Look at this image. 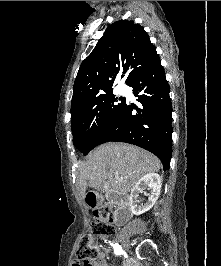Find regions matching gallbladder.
<instances>
[{
  "instance_id": "bac80fb5",
  "label": "gallbladder",
  "mask_w": 221,
  "mask_h": 266,
  "mask_svg": "<svg viewBox=\"0 0 221 266\" xmlns=\"http://www.w3.org/2000/svg\"><path fill=\"white\" fill-rule=\"evenodd\" d=\"M95 189H96V192L97 193H102L104 191V188H103V185L102 184H100L99 186H97Z\"/></svg>"
}]
</instances>
